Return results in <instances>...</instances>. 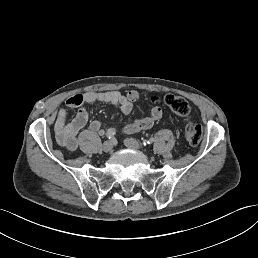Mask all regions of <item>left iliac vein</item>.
<instances>
[{
	"mask_svg": "<svg viewBox=\"0 0 258 258\" xmlns=\"http://www.w3.org/2000/svg\"><path fill=\"white\" fill-rule=\"evenodd\" d=\"M129 149H135L136 151L142 150V145L139 144L135 138H130L129 140H125L124 143Z\"/></svg>",
	"mask_w": 258,
	"mask_h": 258,
	"instance_id": "left-iliac-vein-1",
	"label": "left iliac vein"
}]
</instances>
